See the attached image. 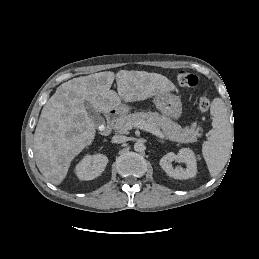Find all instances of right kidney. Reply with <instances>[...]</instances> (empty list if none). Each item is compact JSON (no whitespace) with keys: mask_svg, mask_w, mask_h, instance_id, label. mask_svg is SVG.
I'll return each instance as SVG.
<instances>
[{"mask_svg":"<svg viewBox=\"0 0 259 259\" xmlns=\"http://www.w3.org/2000/svg\"><path fill=\"white\" fill-rule=\"evenodd\" d=\"M107 163L103 154L87 155L76 166V175L80 180H93L101 175Z\"/></svg>","mask_w":259,"mask_h":259,"instance_id":"right-kidney-1","label":"right kidney"}]
</instances>
